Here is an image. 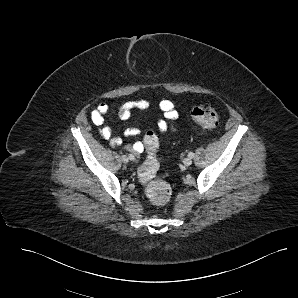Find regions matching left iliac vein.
I'll use <instances>...</instances> for the list:
<instances>
[{
	"mask_svg": "<svg viewBox=\"0 0 298 298\" xmlns=\"http://www.w3.org/2000/svg\"><path fill=\"white\" fill-rule=\"evenodd\" d=\"M183 164L185 166H190L192 164V158L191 157H186L183 159Z\"/></svg>",
	"mask_w": 298,
	"mask_h": 298,
	"instance_id": "1",
	"label": "left iliac vein"
}]
</instances>
